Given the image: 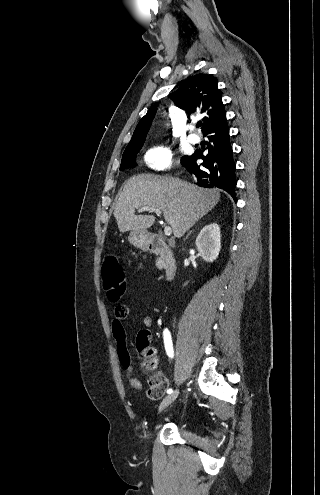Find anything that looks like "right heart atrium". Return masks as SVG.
Masks as SVG:
<instances>
[{
	"instance_id": "d8ad5b80",
	"label": "right heart atrium",
	"mask_w": 320,
	"mask_h": 495,
	"mask_svg": "<svg viewBox=\"0 0 320 495\" xmlns=\"http://www.w3.org/2000/svg\"><path fill=\"white\" fill-rule=\"evenodd\" d=\"M173 152L169 146L155 145L144 154V162L148 167L157 171H163L172 164Z\"/></svg>"
}]
</instances>
